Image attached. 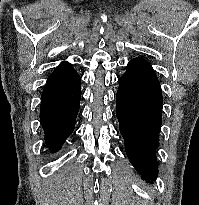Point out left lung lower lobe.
<instances>
[{
  "mask_svg": "<svg viewBox=\"0 0 199 205\" xmlns=\"http://www.w3.org/2000/svg\"><path fill=\"white\" fill-rule=\"evenodd\" d=\"M116 116L127 156L144 180H156L155 151L162 124V90L149 62L131 60L119 79Z\"/></svg>",
  "mask_w": 199,
  "mask_h": 205,
  "instance_id": "0a47b994",
  "label": "left lung lower lobe"
}]
</instances>
